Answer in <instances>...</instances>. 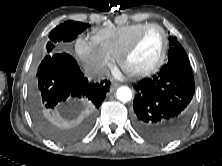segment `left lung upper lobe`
I'll return each mask as SVG.
<instances>
[{"instance_id": "5c2ea615", "label": "left lung upper lobe", "mask_w": 222, "mask_h": 166, "mask_svg": "<svg viewBox=\"0 0 222 166\" xmlns=\"http://www.w3.org/2000/svg\"><path fill=\"white\" fill-rule=\"evenodd\" d=\"M179 62L190 63L187 53L185 52L181 44L177 41V38L170 36L167 64L179 63Z\"/></svg>"}]
</instances>
